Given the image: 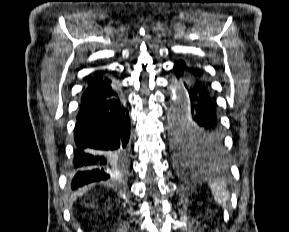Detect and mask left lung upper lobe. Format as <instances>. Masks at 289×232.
<instances>
[{
    "mask_svg": "<svg viewBox=\"0 0 289 232\" xmlns=\"http://www.w3.org/2000/svg\"><path fill=\"white\" fill-rule=\"evenodd\" d=\"M171 133L173 147L178 152L210 153L220 150L210 144L194 123L182 114L172 116Z\"/></svg>",
    "mask_w": 289,
    "mask_h": 232,
    "instance_id": "left-lung-upper-lobe-1",
    "label": "left lung upper lobe"
}]
</instances>
